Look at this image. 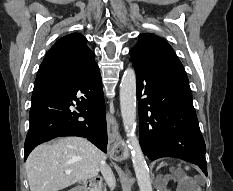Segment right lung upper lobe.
Masks as SVG:
<instances>
[{
	"label": "right lung upper lobe",
	"mask_w": 233,
	"mask_h": 191,
	"mask_svg": "<svg viewBox=\"0 0 233 191\" xmlns=\"http://www.w3.org/2000/svg\"><path fill=\"white\" fill-rule=\"evenodd\" d=\"M86 38L78 33L59 39L48 51L37 73V77L58 74L78 75L92 67L94 52L86 44Z\"/></svg>",
	"instance_id": "obj_1"
}]
</instances>
